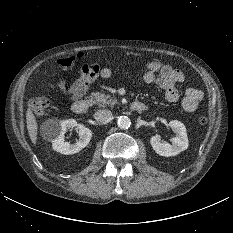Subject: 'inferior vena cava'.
Wrapping results in <instances>:
<instances>
[{
    "label": "inferior vena cava",
    "mask_w": 233,
    "mask_h": 233,
    "mask_svg": "<svg viewBox=\"0 0 233 233\" xmlns=\"http://www.w3.org/2000/svg\"><path fill=\"white\" fill-rule=\"evenodd\" d=\"M112 116V113L111 111L107 110V109H103V110H98L97 112H95L94 114V118L97 120V121H100V122H104V121H107L111 118Z\"/></svg>",
    "instance_id": "1"
}]
</instances>
